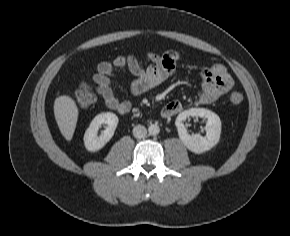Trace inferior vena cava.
I'll use <instances>...</instances> for the list:
<instances>
[{
	"label": "inferior vena cava",
	"mask_w": 290,
	"mask_h": 236,
	"mask_svg": "<svg viewBox=\"0 0 290 236\" xmlns=\"http://www.w3.org/2000/svg\"><path fill=\"white\" fill-rule=\"evenodd\" d=\"M147 134V130L142 125H137L133 128V135L135 138H143Z\"/></svg>",
	"instance_id": "inferior-vena-cava-1"
}]
</instances>
